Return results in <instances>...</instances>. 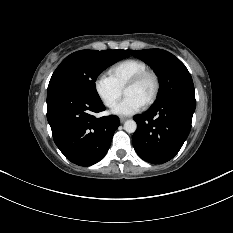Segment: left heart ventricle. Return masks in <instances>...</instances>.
Returning <instances> with one entry per match:
<instances>
[{"instance_id":"b2bd125f","label":"left heart ventricle","mask_w":233,"mask_h":233,"mask_svg":"<svg viewBox=\"0 0 233 233\" xmlns=\"http://www.w3.org/2000/svg\"><path fill=\"white\" fill-rule=\"evenodd\" d=\"M154 89V82L152 78H147L140 84L127 88L124 91L125 96H133L145 103L151 96Z\"/></svg>"}]
</instances>
